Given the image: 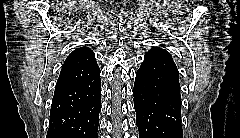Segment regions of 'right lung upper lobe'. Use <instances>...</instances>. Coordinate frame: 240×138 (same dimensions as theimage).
Segmentation results:
<instances>
[{
	"label": "right lung upper lobe",
	"mask_w": 240,
	"mask_h": 138,
	"mask_svg": "<svg viewBox=\"0 0 240 138\" xmlns=\"http://www.w3.org/2000/svg\"><path fill=\"white\" fill-rule=\"evenodd\" d=\"M99 73L93 51L88 47L77 48L65 60L55 91L87 82Z\"/></svg>",
	"instance_id": "obj_1"
}]
</instances>
